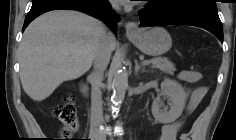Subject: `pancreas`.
I'll list each match as a JSON object with an SVG mask.
<instances>
[{
    "mask_svg": "<svg viewBox=\"0 0 236 140\" xmlns=\"http://www.w3.org/2000/svg\"><path fill=\"white\" fill-rule=\"evenodd\" d=\"M151 63L153 68L160 69L165 73L173 74L176 70L174 64L166 58H154Z\"/></svg>",
    "mask_w": 236,
    "mask_h": 140,
    "instance_id": "cf45deb5",
    "label": "pancreas"
}]
</instances>
